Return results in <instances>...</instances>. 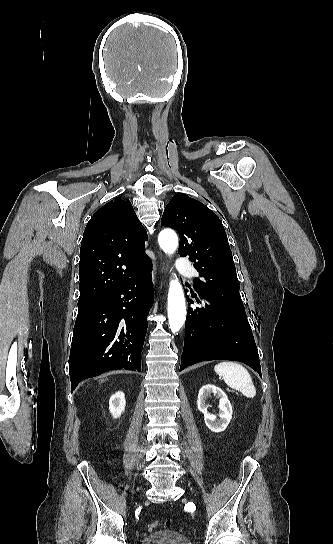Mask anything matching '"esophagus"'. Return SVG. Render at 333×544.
Masks as SVG:
<instances>
[{
	"mask_svg": "<svg viewBox=\"0 0 333 544\" xmlns=\"http://www.w3.org/2000/svg\"><path fill=\"white\" fill-rule=\"evenodd\" d=\"M163 270H164V269H163V268H160V267L158 266V264L154 263V264H153V269H152V277H153V279L156 277L158 271L163 272Z\"/></svg>",
	"mask_w": 333,
	"mask_h": 544,
	"instance_id": "esophagus-1",
	"label": "esophagus"
}]
</instances>
